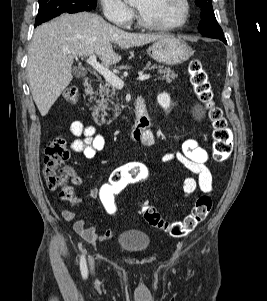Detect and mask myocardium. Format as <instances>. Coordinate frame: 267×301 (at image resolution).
<instances>
[{
	"instance_id": "f54148a6",
	"label": "myocardium",
	"mask_w": 267,
	"mask_h": 301,
	"mask_svg": "<svg viewBox=\"0 0 267 301\" xmlns=\"http://www.w3.org/2000/svg\"><path fill=\"white\" fill-rule=\"evenodd\" d=\"M181 2L183 4L184 12H183L182 18L176 23L167 24V25H159V24L152 23V22L148 21L147 19H145L142 16V14L139 12V10L136 9L137 21L140 26H142L146 29H149V30H154V31L167 32V31H173V30L179 29L187 23V21L189 20V17H190V12H191L189 0H181Z\"/></svg>"
}]
</instances>
